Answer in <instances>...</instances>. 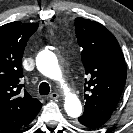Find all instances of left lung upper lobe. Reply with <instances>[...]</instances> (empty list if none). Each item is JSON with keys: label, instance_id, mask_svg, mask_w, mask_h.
Masks as SVG:
<instances>
[{"label": "left lung upper lobe", "instance_id": "left-lung-upper-lobe-1", "mask_svg": "<svg viewBox=\"0 0 133 133\" xmlns=\"http://www.w3.org/2000/svg\"><path fill=\"white\" fill-rule=\"evenodd\" d=\"M76 37L85 67L84 111L111 116L126 82L123 53L114 35L98 22L76 18Z\"/></svg>", "mask_w": 133, "mask_h": 133}]
</instances>
